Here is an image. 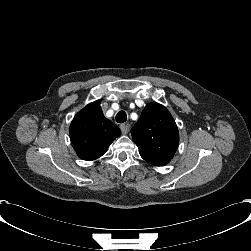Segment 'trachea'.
Returning a JSON list of instances; mask_svg holds the SVG:
<instances>
[{"label": "trachea", "instance_id": "obj_1", "mask_svg": "<svg viewBox=\"0 0 251 251\" xmlns=\"http://www.w3.org/2000/svg\"><path fill=\"white\" fill-rule=\"evenodd\" d=\"M127 120V114L124 111H119L116 115V121L118 123H124Z\"/></svg>", "mask_w": 251, "mask_h": 251}]
</instances>
